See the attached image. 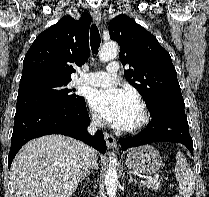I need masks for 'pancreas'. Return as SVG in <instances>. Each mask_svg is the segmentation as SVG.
<instances>
[{"mask_svg":"<svg viewBox=\"0 0 209 197\" xmlns=\"http://www.w3.org/2000/svg\"><path fill=\"white\" fill-rule=\"evenodd\" d=\"M147 188H152L154 190H158L159 188V182L156 183H147L145 184Z\"/></svg>","mask_w":209,"mask_h":197,"instance_id":"obj_1","label":"pancreas"}]
</instances>
